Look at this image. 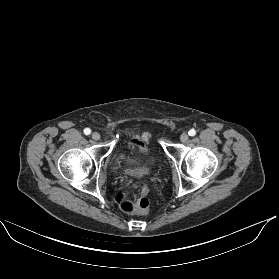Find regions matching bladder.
I'll use <instances>...</instances> for the list:
<instances>
[{
    "instance_id": "bladder-1",
    "label": "bladder",
    "mask_w": 279,
    "mask_h": 279,
    "mask_svg": "<svg viewBox=\"0 0 279 279\" xmlns=\"http://www.w3.org/2000/svg\"><path fill=\"white\" fill-rule=\"evenodd\" d=\"M119 154H120V149H118V150L113 154V158H114V159H117L118 156H119Z\"/></svg>"
}]
</instances>
